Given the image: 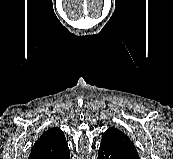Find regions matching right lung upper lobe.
<instances>
[{"instance_id": "right-lung-upper-lobe-1", "label": "right lung upper lobe", "mask_w": 173, "mask_h": 159, "mask_svg": "<svg viewBox=\"0 0 173 159\" xmlns=\"http://www.w3.org/2000/svg\"><path fill=\"white\" fill-rule=\"evenodd\" d=\"M68 149L63 131L54 127L45 131L35 142L28 159H54Z\"/></svg>"}]
</instances>
